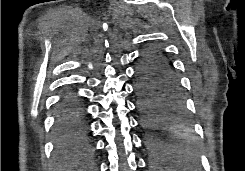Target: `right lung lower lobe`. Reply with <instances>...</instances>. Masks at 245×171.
<instances>
[{"label":"right lung lower lobe","mask_w":245,"mask_h":171,"mask_svg":"<svg viewBox=\"0 0 245 171\" xmlns=\"http://www.w3.org/2000/svg\"><path fill=\"white\" fill-rule=\"evenodd\" d=\"M85 107L76 92L68 89L56 110L54 135L56 154L69 156L88 145L89 129Z\"/></svg>","instance_id":"obj_1"}]
</instances>
